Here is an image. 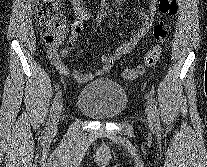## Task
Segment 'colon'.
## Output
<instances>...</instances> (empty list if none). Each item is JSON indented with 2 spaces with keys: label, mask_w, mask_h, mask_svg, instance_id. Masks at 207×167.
<instances>
[{
  "label": "colon",
  "mask_w": 207,
  "mask_h": 167,
  "mask_svg": "<svg viewBox=\"0 0 207 167\" xmlns=\"http://www.w3.org/2000/svg\"><path fill=\"white\" fill-rule=\"evenodd\" d=\"M159 9L164 14H175L177 12L176 0H159ZM36 17L39 22L41 36L45 43L51 46L59 44L65 27V19L62 11L61 0H40ZM169 26L166 22H159L154 30L153 37L156 44L150 48L143 61L133 68H126L120 72L125 80H134L143 76L146 71L154 67L162 54V46L166 40Z\"/></svg>",
  "instance_id": "5ec220e1"
}]
</instances>
